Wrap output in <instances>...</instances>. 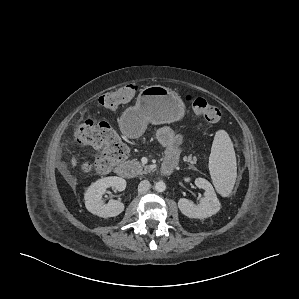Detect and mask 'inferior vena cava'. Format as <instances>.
<instances>
[{"label":"inferior vena cava","mask_w":299,"mask_h":299,"mask_svg":"<svg viewBox=\"0 0 299 299\" xmlns=\"http://www.w3.org/2000/svg\"><path fill=\"white\" fill-rule=\"evenodd\" d=\"M151 188V184L148 180H143L138 185V192L140 194L146 193Z\"/></svg>","instance_id":"inferior-vena-cava-1"}]
</instances>
